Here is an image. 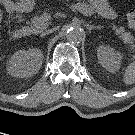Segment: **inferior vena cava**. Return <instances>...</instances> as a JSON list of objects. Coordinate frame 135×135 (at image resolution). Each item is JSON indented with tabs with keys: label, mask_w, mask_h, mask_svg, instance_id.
Returning a JSON list of instances; mask_svg holds the SVG:
<instances>
[{
	"label": "inferior vena cava",
	"mask_w": 135,
	"mask_h": 135,
	"mask_svg": "<svg viewBox=\"0 0 135 135\" xmlns=\"http://www.w3.org/2000/svg\"><path fill=\"white\" fill-rule=\"evenodd\" d=\"M54 31H55V29H54V28H53V29H49V30H47V31L43 32V33L41 34V36L48 35L49 33H52V32H54Z\"/></svg>",
	"instance_id": "obj_1"
}]
</instances>
